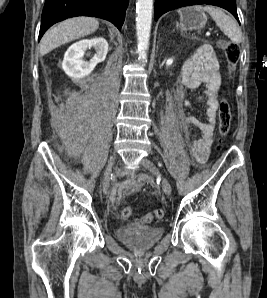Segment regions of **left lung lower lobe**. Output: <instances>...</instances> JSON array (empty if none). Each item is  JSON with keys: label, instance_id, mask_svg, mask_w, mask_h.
I'll return each instance as SVG.
<instances>
[{"label": "left lung lower lobe", "instance_id": "1", "mask_svg": "<svg viewBox=\"0 0 267 298\" xmlns=\"http://www.w3.org/2000/svg\"><path fill=\"white\" fill-rule=\"evenodd\" d=\"M195 4H209L222 7L231 12L239 21L235 0H156L154 11L155 20L170 10Z\"/></svg>", "mask_w": 267, "mask_h": 298}]
</instances>
